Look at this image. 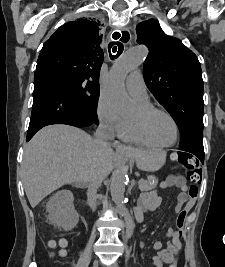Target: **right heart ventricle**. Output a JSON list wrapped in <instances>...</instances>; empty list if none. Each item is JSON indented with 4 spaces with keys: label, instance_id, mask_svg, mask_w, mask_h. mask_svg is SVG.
Instances as JSON below:
<instances>
[{
    "label": "right heart ventricle",
    "instance_id": "obj_1",
    "mask_svg": "<svg viewBox=\"0 0 225 267\" xmlns=\"http://www.w3.org/2000/svg\"><path fill=\"white\" fill-rule=\"evenodd\" d=\"M139 108H146L149 107L150 104L148 101L146 102H138ZM122 137L134 144H137L142 147L150 148V149H159V147L155 146L151 143L146 136L143 134L142 130L140 129L137 121L135 118L127 119L126 126Z\"/></svg>",
    "mask_w": 225,
    "mask_h": 267
}]
</instances>
